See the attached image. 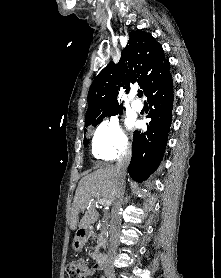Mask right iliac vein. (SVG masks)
I'll return each instance as SVG.
<instances>
[{
	"instance_id": "right-iliac-vein-1",
	"label": "right iliac vein",
	"mask_w": 221,
	"mask_h": 278,
	"mask_svg": "<svg viewBox=\"0 0 221 278\" xmlns=\"http://www.w3.org/2000/svg\"><path fill=\"white\" fill-rule=\"evenodd\" d=\"M108 278H116V277H115V275L110 274V275L108 276Z\"/></svg>"
}]
</instances>
